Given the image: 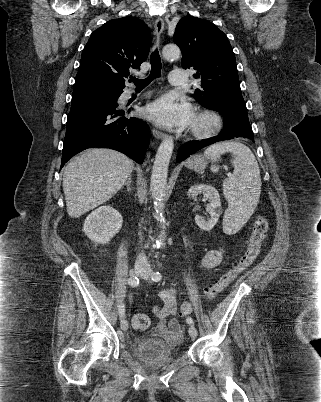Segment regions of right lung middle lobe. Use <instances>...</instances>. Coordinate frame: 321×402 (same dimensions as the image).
I'll return each instance as SVG.
<instances>
[{"label": "right lung middle lobe", "instance_id": "obj_1", "mask_svg": "<svg viewBox=\"0 0 321 402\" xmlns=\"http://www.w3.org/2000/svg\"><path fill=\"white\" fill-rule=\"evenodd\" d=\"M122 89H116L98 84L74 85L72 102L81 100H93L101 102H117Z\"/></svg>", "mask_w": 321, "mask_h": 402}]
</instances>
